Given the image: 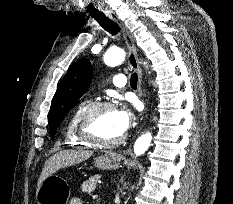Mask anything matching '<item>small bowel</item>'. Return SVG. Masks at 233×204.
<instances>
[{
    "label": "small bowel",
    "instance_id": "obj_1",
    "mask_svg": "<svg viewBox=\"0 0 233 204\" xmlns=\"http://www.w3.org/2000/svg\"><path fill=\"white\" fill-rule=\"evenodd\" d=\"M70 204H82V201L79 198H74Z\"/></svg>",
    "mask_w": 233,
    "mask_h": 204
}]
</instances>
